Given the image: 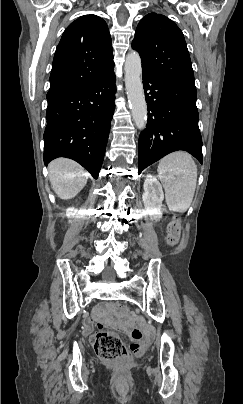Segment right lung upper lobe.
<instances>
[{"label": "right lung upper lobe", "mask_w": 243, "mask_h": 404, "mask_svg": "<svg viewBox=\"0 0 243 404\" xmlns=\"http://www.w3.org/2000/svg\"><path fill=\"white\" fill-rule=\"evenodd\" d=\"M113 48L106 22L81 16L64 31L57 46L47 97L92 83L113 71Z\"/></svg>", "instance_id": "obj_1"}]
</instances>
